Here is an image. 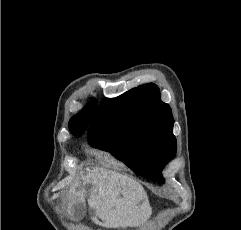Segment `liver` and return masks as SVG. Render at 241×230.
Masks as SVG:
<instances>
[{"label": "liver", "instance_id": "6515ba94", "mask_svg": "<svg viewBox=\"0 0 241 230\" xmlns=\"http://www.w3.org/2000/svg\"><path fill=\"white\" fill-rule=\"evenodd\" d=\"M88 180L93 185L88 205L95 215V222L101 226L106 228L133 226L150 215L146 192L133 179L96 167L89 171ZM83 201L79 200L80 203Z\"/></svg>", "mask_w": 241, "mask_h": 230}]
</instances>
